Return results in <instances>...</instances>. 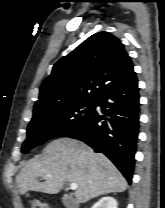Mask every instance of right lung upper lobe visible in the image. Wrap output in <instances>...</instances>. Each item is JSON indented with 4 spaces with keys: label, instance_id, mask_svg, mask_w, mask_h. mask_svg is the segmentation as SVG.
Segmentation results:
<instances>
[{
    "label": "right lung upper lobe",
    "instance_id": "right-lung-upper-lobe-1",
    "mask_svg": "<svg viewBox=\"0 0 165 208\" xmlns=\"http://www.w3.org/2000/svg\"><path fill=\"white\" fill-rule=\"evenodd\" d=\"M132 74L133 64L121 41L108 32L96 33L54 65L34 110L66 101H97Z\"/></svg>",
    "mask_w": 165,
    "mask_h": 208
}]
</instances>
